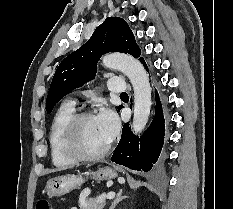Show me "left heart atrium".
I'll return each mask as SVG.
<instances>
[{"instance_id": "obj_1", "label": "left heart atrium", "mask_w": 233, "mask_h": 209, "mask_svg": "<svg viewBox=\"0 0 233 209\" xmlns=\"http://www.w3.org/2000/svg\"><path fill=\"white\" fill-rule=\"evenodd\" d=\"M95 118L107 140H112L119 129V123L114 112L109 108L104 107L99 111Z\"/></svg>"}]
</instances>
